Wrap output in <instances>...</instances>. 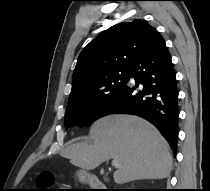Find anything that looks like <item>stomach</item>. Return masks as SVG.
Returning a JSON list of instances; mask_svg holds the SVG:
<instances>
[{
  "label": "stomach",
  "mask_w": 210,
  "mask_h": 191,
  "mask_svg": "<svg viewBox=\"0 0 210 191\" xmlns=\"http://www.w3.org/2000/svg\"><path fill=\"white\" fill-rule=\"evenodd\" d=\"M77 177H78L80 182L86 183L90 180L91 175L84 170H80V171L77 172Z\"/></svg>",
  "instance_id": "1"
}]
</instances>
